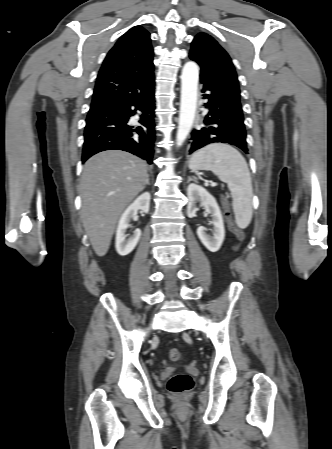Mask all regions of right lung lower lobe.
<instances>
[{
  "label": "right lung lower lobe",
  "mask_w": 332,
  "mask_h": 449,
  "mask_svg": "<svg viewBox=\"0 0 332 449\" xmlns=\"http://www.w3.org/2000/svg\"><path fill=\"white\" fill-rule=\"evenodd\" d=\"M154 89L112 107L89 111L84 132L82 162L105 150L130 152L152 164L155 122ZM138 115L139 125H130V117Z\"/></svg>",
  "instance_id": "obj_1"
}]
</instances>
